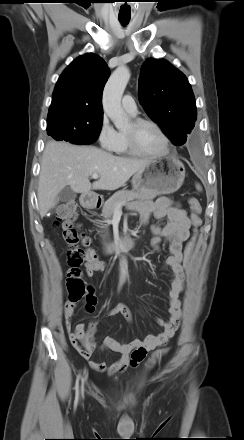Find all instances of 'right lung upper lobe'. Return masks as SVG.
Returning <instances> with one entry per match:
<instances>
[{"instance_id": "obj_1", "label": "right lung upper lobe", "mask_w": 244, "mask_h": 440, "mask_svg": "<svg viewBox=\"0 0 244 440\" xmlns=\"http://www.w3.org/2000/svg\"><path fill=\"white\" fill-rule=\"evenodd\" d=\"M109 75L100 56L90 53L76 58L57 81L47 121H102V92Z\"/></svg>"}]
</instances>
